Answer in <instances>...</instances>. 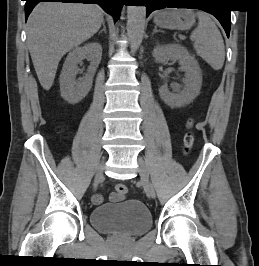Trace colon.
I'll return each mask as SVG.
<instances>
[{
  "label": "colon",
  "mask_w": 259,
  "mask_h": 266,
  "mask_svg": "<svg viewBox=\"0 0 259 266\" xmlns=\"http://www.w3.org/2000/svg\"><path fill=\"white\" fill-rule=\"evenodd\" d=\"M193 120H188L186 123V127H187V131L184 135L183 138V143H184V152L187 154L189 153V151L191 150L193 143H194V135L192 132V127H193ZM127 186L122 184V183H118L115 186V192L120 195V196H125L127 194Z\"/></svg>",
  "instance_id": "1"
}]
</instances>
